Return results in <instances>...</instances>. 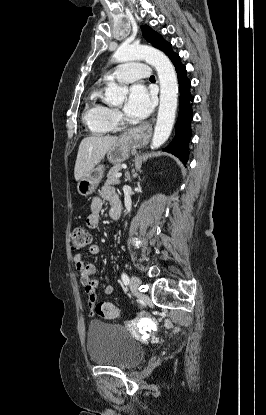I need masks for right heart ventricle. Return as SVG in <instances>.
I'll use <instances>...</instances> for the list:
<instances>
[{"label":"right heart ventricle","mask_w":266,"mask_h":415,"mask_svg":"<svg viewBox=\"0 0 266 415\" xmlns=\"http://www.w3.org/2000/svg\"><path fill=\"white\" fill-rule=\"evenodd\" d=\"M113 113L114 110L103 100L102 90L96 89L89 96L83 120L93 133L105 134L116 126Z\"/></svg>","instance_id":"1"}]
</instances>
